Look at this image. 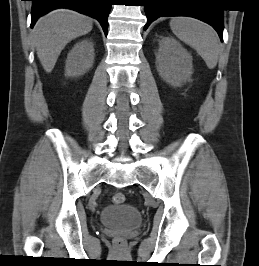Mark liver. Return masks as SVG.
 <instances>
[{"instance_id": "liver-1", "label": "liver", "mask_w": 259, "mask_h": 266, "mask_svg": "<svg viewBox=\"0 0 259 266\" xmlns=\"http://www.w3.org/2000/svg\"><path fill=\"white\" fill-rule=\"evenodd\" d=\"M92 20L80 13L58 9L41 17L32 31L37 56L50 73L64 47L73 39L92 30Z\"/></svg>"}]
</instances>
